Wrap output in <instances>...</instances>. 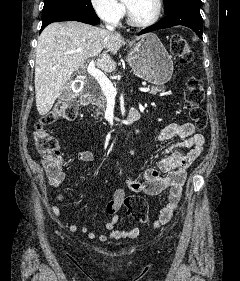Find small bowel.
I'll list each match as a JSON object with an SVG mask.
<instances>
[{"label": "small bowel", "instance_id": "1", "mask_svg": "<svg viewBox=\"0 0 240 281\" xmlns=\"http://www.w3.org/2000/svg\"><path fill=\"white\" fill-rule=\"evenodd\" d=\"M173 138L179 141L168 147L159 158L155 167H150L142 173V180L128 178L126 188L135 192L143 193L149 196H156L164 190L169 189V202L162 209L155 225L166 224L172 218L177 210L183 192V185L186 180L187 170L198 158L204 147V137L197 133L192 123H171L163 128L156 137L157 142H166ZM77 159L87 166L94 162V155L89 150L79 151ZM66 172L62 169L55 176L48 174V182L58 188L65 180ZM126 196V189L119 188L114 192L113 198L106 204L105 212L109 221L105 224V229L109 232L106 235H97L90 232L88 227H79L77 224H71L69 230L73 233L82 232L91 239L105 241L108 237L112 239H132L138 236L139 229L136 227L129 229H115L118 220V211L122 207ZM57 201L61 202L63 196L58 194ZM52 212L61 216L60 209L57 206L52 207Z\"/></svg>", "mask_w": 240, "mask_h": 281}]
</instances>
